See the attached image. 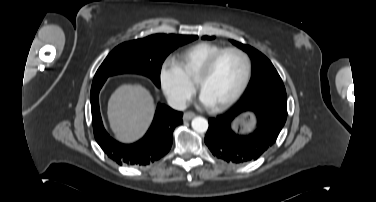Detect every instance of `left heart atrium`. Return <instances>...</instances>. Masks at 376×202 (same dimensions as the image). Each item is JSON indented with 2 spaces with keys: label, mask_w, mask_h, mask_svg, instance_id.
<instances>
[{
  "label": "left heart atrium",
  "mask_w": 376,
  "mask_h": 202,
  "mask_svg": "<svg viewBox=\"0 0 376 202\" xmlns=\"http://www.w3.org/2000/svg\"><path fill=\"white\" fill-rule=\"evenodd\" d=\"M201 102L206 105V106H211V103L209 102V100L205 97V95L202 93L201 94Z\"/></svg>",
  "instance_id": "obj_1"
}]
</instances>
